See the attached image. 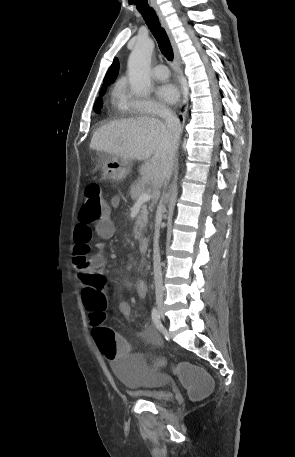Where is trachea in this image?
<instances>
[{
  "label": "trachea",
  "mask_w": 295,
  "mask_h": 457,
  "mask_svg": "<svg viewBox=\"0 0 295 457\" xmlns=\"http://www.w3.org/2000/svg\"><path fill=\"white\" fill-rule=\"evenodd\" d=\"M138 10L142 13L143 18L155 37L161 53L168 61L173 60V49L165 29L161 26L156 12L148 5H139Z\"/></svg>",
  "instance_id": "obj_1"
}]
</instances>
